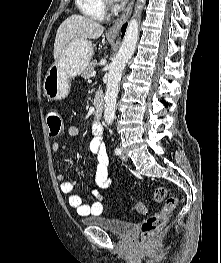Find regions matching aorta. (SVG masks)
I'll return each instance as SVG.
<instances>
[{
	"label": "aorta",
	"mask_w": 221,
	"mask_h": 263,
	"mask_svg": "<svg viewBox=\"0 0 221 263\" xmlns=\"http://www.w3.org/2000/svg\"><path fill=\"white\" fill-rule=\"evenodd\" d=\"M138 1L142 3L145 2V0ZM139 24L140 13H137L134 18L130 20L121 47L116 57L110 64L108 82L104 97V119L108 125H111L114 120L116 100L118 96L119 82L122 76V72L128 60L132 57L139 39Z\"/></svg>",
	"instance_id": "obj_1"
}]
</instances>
